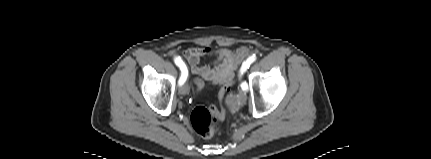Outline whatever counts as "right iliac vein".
Segmentation results:
<instances>
[{
    "label": "right iliac vein",
    "mask_w": 431,
    "mask_h": 159,
    "mask_svg": "<svg viewBox=\"0 0 431 159\" xmlns=\"http://www.w3.org/2000/svg\"><path fill=\"white\" fill-rule=\"evenodd\" d=\"M188 92H189V86H188V84H187V83H185L184 85H182V86L180 87V89H179V93H180L181 95H186V94H188Z\"/></svg>",
    "instance_id": "63e3f726"
}]
</instances>
